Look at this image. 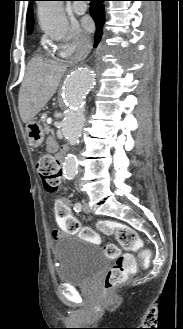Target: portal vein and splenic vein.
<instances>
[{
  "label": "portal vein and splenic vein",
  "mask_w": 183,
  "mask_h": 329,
  "mask_svg": "<svg viewBox=\"0 0 183 329\" xmlns=\"http://www.w3.org/2000/svg\"><path fill=\"white\" fill-rule=\"evenodd\" d=\"M47 123H48V124H51V123H52V118H48V119H47Z\"/></svg>",
  "instance_id": "18ae733b"
}]
</instances>
